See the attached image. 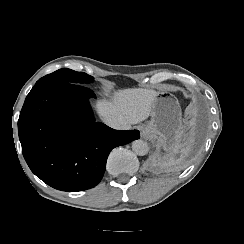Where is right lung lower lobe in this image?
<instances>
[{
    "label": "right lung lower lobe",
    "instance_id": "1",
    "mask_svg": "<svg viewBox=\"0 0 244 244\" xmlns=\"http://www.w3.org/2000/svg\"><path fill=\"white\" fill-rule=\"evenodd\" d=\"M94 92L68 82L35 85L18 120L23 156L42 181L62 191H82L103 177L110 151L140 138L95 122Z\"/></svg>",
    "mask_w": 244,
    "mask_h": 244
}]
</instances>
